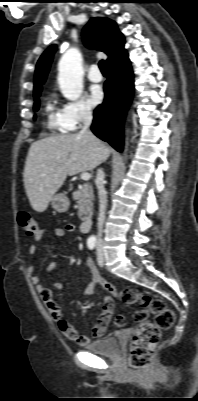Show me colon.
I'll return each instance as SVG.
<instances>
[{"mask_svg": "<svg viewBox=\"0 0 198 401\" xmlns=\"http://www.w3.org/2000/svg\"><path fill=\"white\" fill-rule=\"evenodd\" d=\"M17 221L21 230L27 236H34L38 232V224L35 218L28 212H19ZM120 299L125 304L139 303L141 310L134 313V320L139 323L130 343L128 364L134 370H140L151 361L161 332L170 328L175 321L174 311L167 307L164 301L153 299L134 289H124L120 292ZM154 315V321H148L149 314ZM126 325V318L117 315L114 326L122 328Z\"/></svg>", "mask_w": 198, "mask_h": 401, "instance_id": "1", "label": "colon"}]
</instances>
